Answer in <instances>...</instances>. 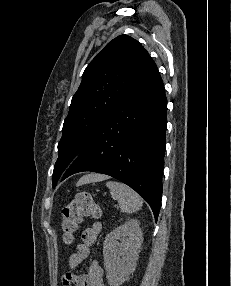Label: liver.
<instances>
[{"mask_svg":"<svg viewBox=\"0 0 231 286\" xmlns=\"http://www.w3.org/2000/svg\"><path fill=\"white\" fill-rule=\"evenodd\" d=\"M106 176L104 175H100V174H89L86 176H83L78 182H77V186L83 185V184H87V183H91V182H95V181H101L103 179H105Z\"/></svg>","mask_w":231,"mask_h":286,"instance_id":"6515ba94","label":"liver"}]
</instances>
